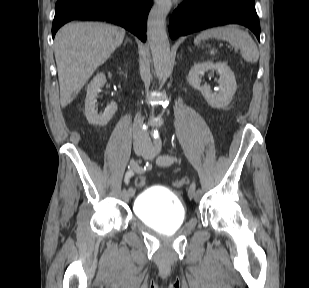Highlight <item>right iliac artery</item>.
I'll use <instances>...</instances> for the list:
<instances>
[{"mask_svg": "<svg viewBox=\"0 0 309 288\" xmlns=\"http://www.w3.org/2000/svg\"><path fill=\"white\" fill-rule=\"evenodd\" d=\"M150 168H151V165L149 163H146V165H144V167H143L144 171L151 170ZM127 189H128L129 193H134V188H132L131 185H128Z\"/></svg>", "mask_w": 309, "mask_h": 288, "instance_id": "obj_1", "label": "right iliac artery"}]
</instances>
